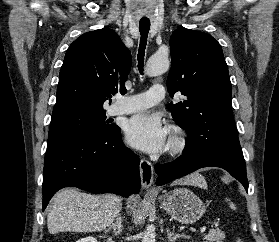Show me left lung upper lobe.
Returning a JSON list of instances; mask_svg holds the SVG:
<instances>
[{
	"instance_id": "5c2ea615",
	"label": "left lung upper lobe",
	"mask_w": 279,
	"mask_h": 242,
	"mask_svg": "<svg viewBox=\"0 0 279 242\" xmlns=\"http://www.w3.org/2000/svg\"><path fill=\"white\" fill-rule=\"evenodd\" d=\"M172 65L167 79L172 117L189 137L182 154L218 153L242 158L231 106V82L220 44L210 35L186 28L170 38Z\"/></svg>"
}]
</instances>
